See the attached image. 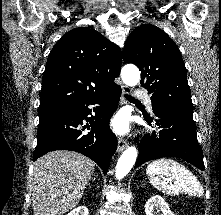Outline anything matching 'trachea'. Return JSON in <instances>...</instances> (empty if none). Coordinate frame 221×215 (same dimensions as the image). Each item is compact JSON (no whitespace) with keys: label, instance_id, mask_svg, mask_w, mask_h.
<instances>
[{"label":"trachea","instance_id":"1","mask_svg":"<svg viewBox=\"0 0 221 215\" xmlns=\"http://www.w3.org/2000/svg\"><path fill=\"white\" fill-rule=\"evenodd\" d=\"M125 98L129 101L139 102V100L135 99L134 97H132L131 95H128V94H125Z\"/></svg>","mask_w":221,"mask_h":215}]
</instances>
